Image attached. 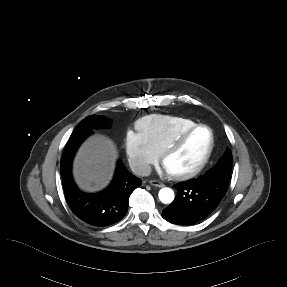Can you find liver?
Wrapping results in <instances>:
<instances>
[{"instance_id": "1", "label": "liver", "mask_w": 287, "mask_h": 287, "mask_svg": "<svg viewBox=\"0 0 287 287\" xmlns=\"http://www.w3.org/2000/svg\"><path fill=\"white\" fill-rule=\"evenodd\" d=\"M118 156L114 142L95 135L83 143L74 160L73 173L78 185L86 191L104 188L113 175Z\"/></svg>"}]
</instances>
